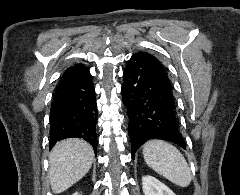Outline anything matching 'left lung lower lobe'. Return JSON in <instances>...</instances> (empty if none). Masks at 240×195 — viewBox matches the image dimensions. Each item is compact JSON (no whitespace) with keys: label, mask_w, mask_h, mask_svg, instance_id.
<instances>
[{"label":"left lung lower lobe","mask_w":240,"mask_h":195,"mask_svg":"<svg viewBox=\"0 0 240 195\" xmlns=\"http://www.w3.org/2000/svg\"><path fill=\"white\" fill-rule=\"evenodd\" d=\"M123 78L132 156L144 142L155 138L185 148L178 130L170 80L161 63L156 58L136 53L128 61Z\"/></svg>","instance_id":"left-lung-lower-lobe-1"}]
</instances>
